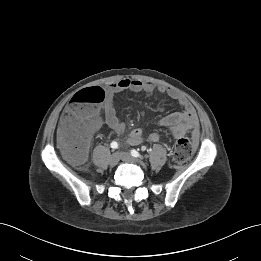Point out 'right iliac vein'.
<instances>
[{
	"mask_svg": "<svg viewBox=\"0 0 261 261\" xmlns=\"http://www.w3.org/2000/svg\"><path fill=\"white\" fill-rule=\"evenodd\" d=\"M119 162V156L117 153H113L110 157H109V160H108V163L110 166H116Z\"/></svg>",
	"mask_w": 261,
	"mask_h": 261,
	"instance_id": "right-iliac-vein-1",
	"label": "right iliac vein"
}]
</instances>
